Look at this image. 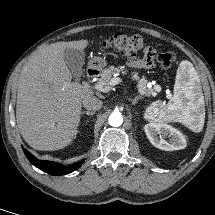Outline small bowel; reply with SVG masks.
<instances>
[{
	"instance_id": "small-bowel-1",
	"label": "small bowel",
	"mask_w": 215,
	"mask_h": 215,
	"mask_svg": "<svg viewBox=\"0 0 215 215\" xmlns=\"http://www.w3.org/2000/svg\"><path fill=\"white\" fill-rule=\"evenodd\" d=\"M154 56V49L147 47L142 58H132L128 61V65L132 68L150 69L154 66Z\"/></svg>"
}]
</instances>
